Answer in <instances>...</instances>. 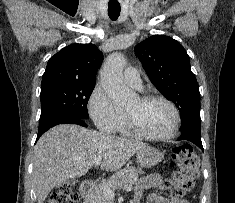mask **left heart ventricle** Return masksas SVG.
I'll return each instance as SVG.
<instances>
[{"instance_id": "1", "label": "left heart ventricle", "mask_w": 235, "mask_h": 203, "mask_svg": "<svg viewBox=\"0 0 235 203\" xmlns=\"http://www.w3.org/2000/svg\"><path fill=\"white\" fill-rule=\"evenodd\" d=\"M125 109L132 114L138 125L149 134L163 135L172 128L173 112L164 102H142L136 97L126 105Z\"/></svg>"}]
</instances>
